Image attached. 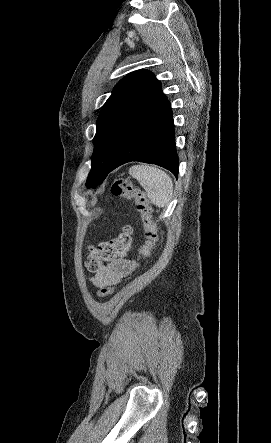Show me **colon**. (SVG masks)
<instances>
[{
	"label": "colon",
	"mask_w": 271,
	"mask_h": 443,
	"mask_svg": "<svg viewBox=\"0 0 271 443\" xmlns=\"http://www.w3.org/2000/svg\"><path fill=\"white\" fill-rule=\"evenodd\" d=\"M111 192L116 197L132 200L137 205V210L144 226L145 240L139 247V254L143 257L149 256L157 241V229L152 218V209L146 194L136 187L128 179H116L112 185ZM133 245V231L130 226L122 229L120 234L109 241L102 242L96 247H91L87 256L85 266L90 272H98L103 264H109L119 257L125 256ZM115 290L113 285L104 286L98 292V297L110 296Z\"/></svg>",
	"instance_id": "5ec220e1"
}]
</instances>
